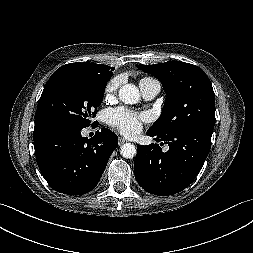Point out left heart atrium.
<instances>
[{"instance_id":"39dd6f15","label":"left heart atrium","mask_w":253,"mask_h":253,"mask_svg":"<svg viewBox=\"0 0 253 253\" xmlns=\"http://www.w3.org/2000/svg\"><path fill=\"white\" fill-rule=\"evenodd\" d=\"M108 122L126 136H135L147 119L145 114H137L125 108H116L108 111Z\"/></svg>"}]
</instances>
